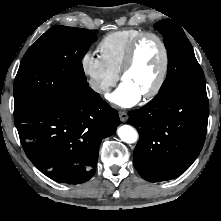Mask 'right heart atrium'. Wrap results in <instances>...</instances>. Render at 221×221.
Masks as SVG:
<instances>
[{
    "label": "right heart atrium",
    "mask_w": 221,
    "mask_h": 221,
    "mask_svg": "<svg viewBox=\"0 0 221 221\" xmlns=\"http://www.w3.org/2000/svg\"><path fill=\"white\" fill-rule=\"evenodd\" d=\"M81 68L90 88L98 95L108 92L118 80V75L109 69L101 56L91 51L82 56Z\"/></svg>",
    "instance_id": "1"
}]
</instances>
